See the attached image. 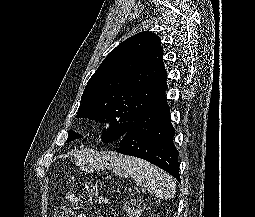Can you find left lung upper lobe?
Wrapping results in <instances>:
<instances>
[{"mask_svg":"<svg viewBox=\"0 0 255 217\" xmlns=\"http://www.w3.org/2000/svg\"><path fill=\"white\" fill-rule=\"evenodd\" d=\"M160 38L141 32L115 47L89 79L77 118L106 120L103 142L122 138L131 125L167 88ZM82 138L72 130L67 142Z\"/></svg>","mask_w":255,"mask_h":217,"instance_id":"obj_1","label":"left lung upper lobe"}]
</instances>
